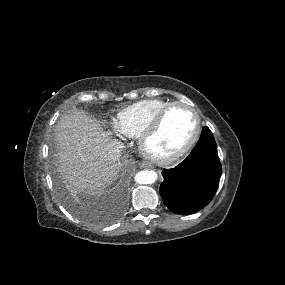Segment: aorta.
<instances>
[{"instance_id": "762f6f07", "label": "aorta", "mask_w": 285, "mask_h": 285, "mask_svg": "<svg viewBox=\"0 0 285 285\" xmlns=\"http://www.w3.org/2000/svg\"><path fill=\"white\" fill-rule=\"evenodd\" d=\"M157 173L153 170H143L135 175V181L138 184H152L157 180Z\"/></svg>"}]
</instances>
